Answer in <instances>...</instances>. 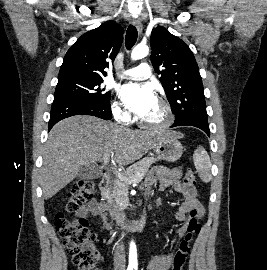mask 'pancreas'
<instances>
[{
	"mask_svg": "<svg viewBox=\"0 0 267 270\" xmlns=\"http://www.w3.org/2000/svg\"><path fill=\"white\" fill-rule=\"evenodd\" d=\"M157 161L154 157H146L137 163L131 165L122 173L123 177L137 179L138 182L143 179L146 173L149 170V167ZM128 187L129 183L116 178L113 181L112 186L108 189L107 193L104 195V198L107 199L108 203H124L128 200Z\"/></svg>",
	"mask_w": 267,
	"mask_h": 270,
	"instance_id": "1",
	"label": "pancreas"
}]
</instances>
